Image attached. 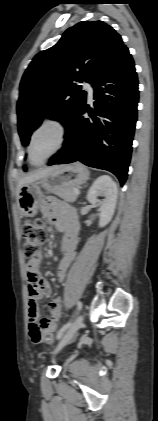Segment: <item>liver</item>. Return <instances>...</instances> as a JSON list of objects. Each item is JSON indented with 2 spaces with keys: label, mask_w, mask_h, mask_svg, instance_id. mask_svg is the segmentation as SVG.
<instances>
[{
  "label": "liver",
  "mask_w": 158,
  "mask_h": 421,
  "mask_svg": "<svg viewBox=\"0 0 158 421\" xmlns=\"http://www.w3.org/2000/svg\"><path fill=\"white\" fill-rule=\"evenodd\" d=\"M57 166H51V167H46V168H40L38 170H35L31 173H29L28 175H26L24 178H22L18 185H17V196L19 194V191L21 189V187L24 184L39 180L40 178H42L43 176H45L46 174H48L49 172H51L52 170H54Z\"/></svg>",
  "instance_id": "6515ba94"
}]
</instances>
